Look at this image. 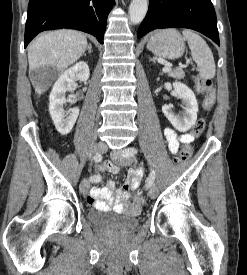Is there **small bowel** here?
<instances>
[{"instance_id": "obj_1", "label": "small bowel", "mask_w": 247, "mask_h": 275, "mask_svg": "<svg viewBox=\"0 0 247 275\" xmlns=\"http://www.w3.org/2000/svg\"><path fill=\"white\" fill-rule=\"evenodd\" d=\"M164 135L168 143V148L171 153L176 154L179 148L185 143H191L194 140V135L185 133L178 135L172 128H165ZM102 171L117 173L119 168L115 165L100 168ZM142 177L141 169H133L129 173V179L124 183L120 189H115L113 183H109L105 187H94L87 197L88 202L95 208L100 210H108L111 205L117 210H124L128 212H138L139 205L137 203H129V191L136 190L140 186Z\"/></svg>"}]
</instances>
